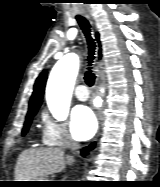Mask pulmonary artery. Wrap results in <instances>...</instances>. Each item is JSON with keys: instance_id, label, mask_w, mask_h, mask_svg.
Segmentation results:
<instances>
[{"instance_id": "pulmonary-artery-1", "label": "pulmonary artery", "mask_w": 160, "mask_h": 187, "mask_svg": "<svg viewBox=\"0 0 160 187\" xmlns=\"http://www.w3.org/2000/svg\"><path fill=\"white\" fill-rule=\"evenodd\" d=\"M75 96L80 101H85L88 99V92L85 85H79L77 86L75 90Z\"/></svg>"}]
</instances>
